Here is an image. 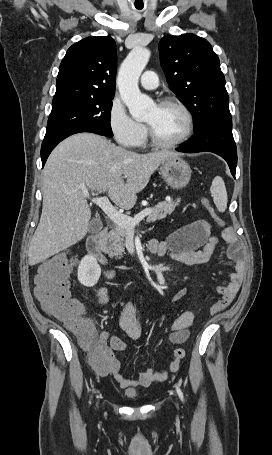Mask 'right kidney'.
<instances>
[{"mask_svg":"<svg viewBox=\"0 0 272 455\" xmlns=\"http://www.w3.org/2000/svg\"><path fill=\"white\" fill-rule=\"evenodd\" d=\"M101 275V268L97 263L96 258L92 255H86L82 258L78 267V280L87 287L94 286Z\"/></svg>","mask_w":272,"mask_h":455,"instance_id":"right-kidney-1","label":"right kidney"}]
</instances>
